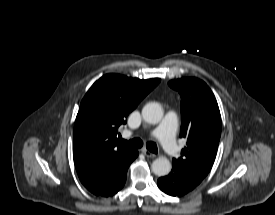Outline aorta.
<instances>
[{"label": "aorta", "mask_w": 275, "mask_h": 215, "mask_svg": "<svg viewBox=\"0 0 275 215\" xmlns=\"http://www.w3.org/2000/svg\"><path fill=\"white\" fill-rule=\"evenodd\" d=\"M142 117L149 124H157L163 118V109L158 103H147L142 109ZM151 169L155 175L165 176L171 171V163L166 157H159L152 162Z\"/></svg>", "instance_id": "obj_1"}]
</instances>
